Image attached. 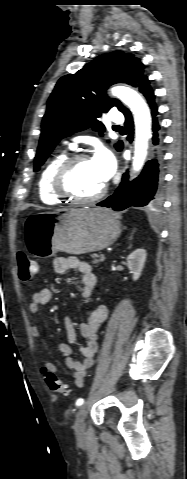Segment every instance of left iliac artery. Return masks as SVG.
Wrapping results in <instances>:
<instances>
[{
  "instance_id": "left-iliac-artery-1",
  "label": "left iliac artery",
  "mask_w": 187,
  "mask_h": 479,
  "mask_svg": "<svg viewBox=\"0 0 187 479\" xmlns=\"http://www.w3.org/2000/svg\"><path fill=\"white\" fill-rule=\"evenodd\" d=\"M83 403H84V400H83L82 398H80V399H78V400L76 401V406L79 407V406H81Z\"/></svg>"
}]
</instances>
